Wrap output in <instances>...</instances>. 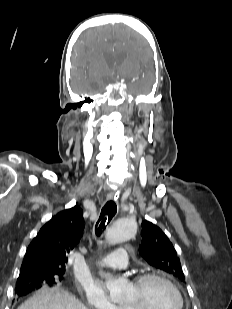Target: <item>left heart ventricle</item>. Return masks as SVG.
Listing matches in <instances>:
<instances>
[{
    "instance_id": "left-heart-ventricle-1",
    "label": "left heart ventricle",
    "mask_w": 232,
    "mask_h": 309,
    "mask_svg": "<svg viewBox=\"0 0 232 309\" xmlns=\"http://www.w3.org/2000/svg\"><path fill=\"white\" fill-rule=\"evenodd\" d=\"M126 303L143 309H177L179 300L170 286L153 279L141 287L131 284L123 300Z\"/></svg>"
}]
</instances>
